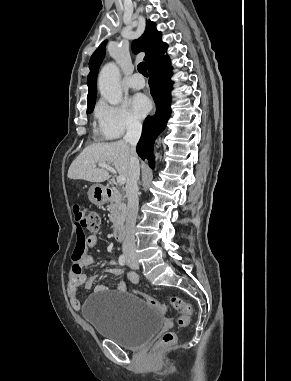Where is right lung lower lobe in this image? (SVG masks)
Here are the masks:
<instances>
[{"label": "right lung lower lobe", "instance_id": "1", "mask_svg": "<svg viewBox=\"0 0 291 381\" xmlns=\"http://www.w3.org/2000/svg\"><path fill=\"white\" fill-rule=\"evenodd\" d=\"M169 57H165L150 68L149 85L151 95L156 103L155 115L145 119L142 136L137 144L136 151L144 160L147 159L149 166L153 168L155 160L153 156V144L157 136L165 129L171 115V90L173 82L170 80L171 68Z\"/></svg>", "mask_w": 291, "mask_h": 381}]
</instances>
